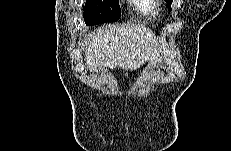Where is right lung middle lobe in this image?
<instances>
[{
	"label": "right lung middle lobe",
	"instance_id": "1",
	"mask_svg": "<svg viewBox=\"0 0 231 151\" xmlns=\"http://www.w3.org/2000/svg\"><path fill=\"white\" fill-rule=\"evenodd\" d=\"M83 11L85 23L89 26L115 22L121 15L118 0H86Z\"/></svg>",
	"mask_w": 231,
	"mask_h": 151
}]
</instances>
